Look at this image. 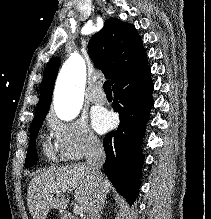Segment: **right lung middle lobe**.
I'll use <instances>...</instances> for the list:
<instances>
[{"label": "right lung middle lobe", "mask_w": 211, "mask_h": 219, "mask_svg": "<svg viewBox=\"0 0 211 219\" xmlns=\"http://www.w3.org/2000/svg\"><path fill=\"white\" fill-rule=\"evenodd\" d=\"M46 113L35 116L32 121L31 132H30V144L25 160V167H31L37 162V151H36V136L39 129L42 126V122L45 119Z\"/></svg>", "instance_id": "1"}]
</instances>
